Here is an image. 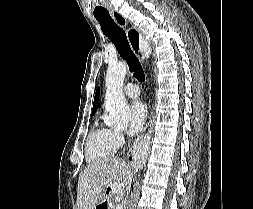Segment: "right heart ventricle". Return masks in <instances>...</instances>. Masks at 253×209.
<instances>
[{
	"label": "right heart ventricle",
	"mask_w": 253,
	"mask_h": 209,
	"mask_svg": "<svg viewBox=\"0 0 253 209\" xmlns=\"http://www.w3.org/2000/svg\"><path fill=\"white\" fill-rule=\"evenodd\" d=\"M112 131L96 122L91 128L86 143V158L89 162L104 160L116 150Z\"/></svg>",
	"instance_id": "obj_1"
}]
</instances>
